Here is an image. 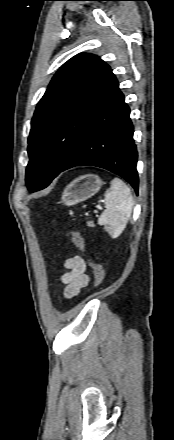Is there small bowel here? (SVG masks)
Returning a JSON list of instances; mask_svg holds the SVG:
<instances>
[{
  "instance_id": "c3829d8e",
  "label": "small bowel",
  "mask_w": 174,
  "mask_h": 440,
  "mask_svg": "<svg viewBox=\"0 0 174 440\" xmlns=\"http://www.w3.org/2000/svg\"><path fill=\"white\" fill-rule=\"evenodd\" d=\"M66 272L60 276L64 285V296L74 298L88 285L89 276L86 273V264L81 256L74 255L64 262Z\"/></svg>"
}]
</instances>
